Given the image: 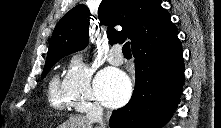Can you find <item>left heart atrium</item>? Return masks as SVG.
Masks as SVG:
<instances>
[{
  "instance_id": "obj_1",
  "label": "left heart atrium",
  "mask_w": 221,
  "mask_h": 128,
  "mask_svg": "<svg viewBox=\"0 0 221 128\" xmlns=\"http://www.w3.org/2000/svg\"><path fill=\"white\" fill-rule=\"evenodd\" d=\"M95 94L108 107H118L130 98L132 86L129 78L120 70H102L95 81Z\"/></svg>"
}]
</instances>
